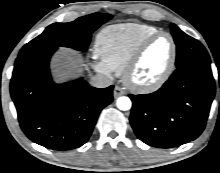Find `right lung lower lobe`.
Segmentation results:
<instances>
[{
	"label": "right lung lower lobe",
	"mask_w": 220,
	"mask_h": 173,
	"mask_svg": "<svg viewBox=\"0 0 220 173\" xmlns=\"http://www.w3.org/2000/svg\"><path fill=\"white\" fill-rule=\"evenodd\" d=\"M56 50L19 55L10 91L26 136L48 149L64 151L88 141L99 113L113 100V86L99 89L82 79L55 84L49 60Z\"/></svg>",
	"instance_id": "1"
}]
</instances>
